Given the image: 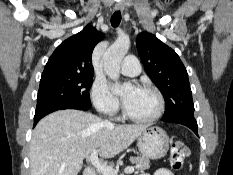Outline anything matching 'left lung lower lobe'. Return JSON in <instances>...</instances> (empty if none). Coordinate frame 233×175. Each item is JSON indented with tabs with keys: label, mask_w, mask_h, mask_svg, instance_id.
Here are the masks:
<instances>
[{
	"label": "left lung lower lobe",
	"mask_w": 233,
	"mask_h": 175,
	"mask_svg": "<svg viewBox=\"0 0 233 175\" xmlns=\"http://www.w3.org/2000/svg\"><path fill=\"white\" fill-rule=\"evenodd\" d=\"M163 121L185 125L188 128H190L198 136V125H197L195 118L176 117V118H171V119H167V120H163Z\"/></svg>",
	"instance_id": "1"
}]
</instances>
